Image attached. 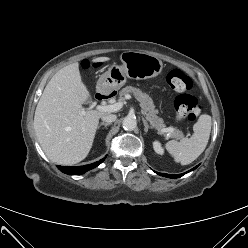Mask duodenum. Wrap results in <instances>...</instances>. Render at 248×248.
Masks as SVG:
<instances>
[{
	"mask_svg": "<svg viewBox=\"0 0 248 248\" xmlns=\"http://www.w3.org/2000/svg\"><path fill=\"white\" fill-rule=\"evenodd\" d=\"M95 98H96V100H98V101H102V100L106 99L107 96L104 95V94H102V93H97V94L95 95Z\"/></svg>",
	"mask_w": 248,
	"mask_h": 248,
	"instance_id": "410a0bca",
	"label": "duodenum"
}]
</instances>
